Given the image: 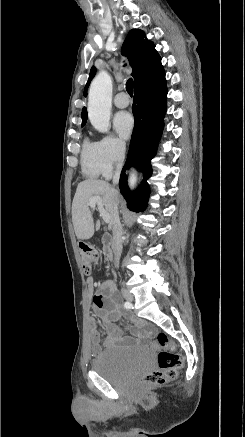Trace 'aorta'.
Segmentation results:
<instances>
[{"instance_id": "obj_1", "label": "aorta", "mask_w": 245, "mask_h": 437, "mask_svg": "<svg viewBox=\"0 0 245 437\" xmlns=\"http://www.w3.org/2000/svg\"><path fill=\"white\" fill-rule=\"evenodd\" d=\"M112 79L106 72H100L92 81L88 94V117L99 132H108L111 114ZM137 176L131 173L129 184H136Z\"/></svg>"}]
</instances>
